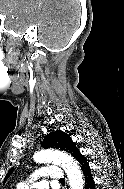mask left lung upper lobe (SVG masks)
I'll use <instances>...</instances> for the list:
<instances>
[{
  "label": "left lung upper lobe",
  "mask_w": 124,
  "mask_h": 189,
  "mask_svg": "<svg viewBox=\"0 0 124 189\" xmlns=\"http://www.w3.org/2000/svg\"><path fill=\"white\" fill-rule=\"evenodd\" d=\"M44 148H54L65 152H68L71 156L76 158L80 152L76 147L75 143L71 140L70 136L62 131L51 132L45 136L43 140ZM12 169L6 175L4 182L7 180L9 175L12 173Z\"/></svg>",
  "instance_id": "obj_1"
}]
</instances>
